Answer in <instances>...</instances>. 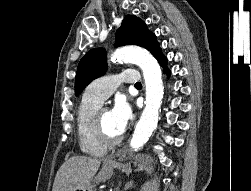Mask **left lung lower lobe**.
Listing matches in <instances>:
<instances>
[{"instance_id": "1", "label": "left lung lower lobe", "mask_w": 251, "mask_h": 191, "mask_svg": "<svg viewBox=\"0 0 251 191\" xmlns=\"http://www.w3.org/2000/svg\"><path fill=\"white\" fill-rule=\"evenodd\" d=\"M156 59L158 60V62L164 67V72L170 76V71L167 68V58L161 53L159 56L156 57Z\"/></svg>"}]
</instances>
